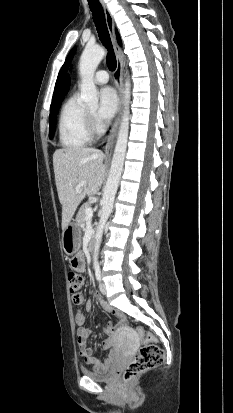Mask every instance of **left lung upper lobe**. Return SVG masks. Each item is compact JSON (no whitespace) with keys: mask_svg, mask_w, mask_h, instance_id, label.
Segmentation results:
<instances>
[{"mask_svg":"<svg viewBox=\"0 0 233 413\" xmlns=\"http://www.w3.org/2000/svg\"><path fill=\"white\" fill-rule=\"evenodd\" d=\"M74 51H75V47L71 50V52L69 53L68 57L66 58L65 63L63 64L62 68H61L60 71H59V75H58V78H57V81H56V84H55V90H54V94H53V100L56 98V96H57V94H58L62 77H63V75L65 74V72H66V70H67V67H68V65H69V63H70V61H71V59H72V57H73Z\"/></svg>","mask_w":233,"mask_h":413,"instance_id":"5c2ea615","label":"left lung upper lobe"}]
</instances>
